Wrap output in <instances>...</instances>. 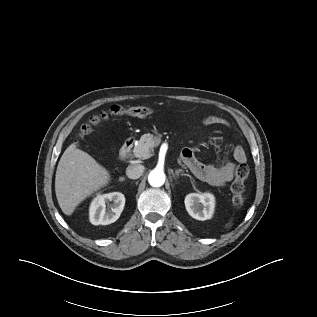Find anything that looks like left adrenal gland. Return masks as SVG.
I'll return each mask as SVG.
<instances>
[{
	"label": "left adrenal gland",
	"instance_id": "obj_1",
	"mask_svg": "<svg viewBox=\"0 0 317 317\" xmlns=\"http://www.w3.org/2000/svg\"><path fill=\"white\" fill-rule=\"evenodd\" d=\"M182 166H183V165H182ZM183 172H184V171H183L182 169L176 170V171H175V174H173V177H174V178H177V177H179V174H180V173H183Z\"/></svg>",
	"mask_w": 317,
	"mask_h": 317
}]
</instances>
